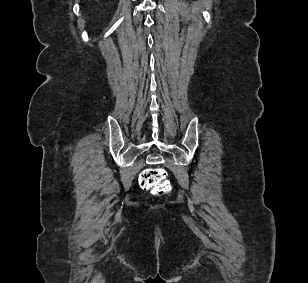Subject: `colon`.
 I'll return each mask as SVG.
<instances>
[{
    "instance_id": "colon-1",
    "label": "colon",
    "mask_w": 308,
    "mask_h": 283,
    "mask_svg": "<svg viewBox=\"0 0 308 283\" xmlns=\"http://www.w3.org/2000/svg\"><path fill=\"white\" fill-rule=\"evenodd\" d=\"M139 185L142 189L150 190L154 195H164L171 190L166 171L159 167L143 170L139 176Z\"/></svg>"
}]
</instances>
